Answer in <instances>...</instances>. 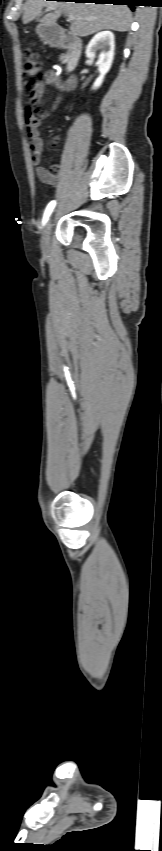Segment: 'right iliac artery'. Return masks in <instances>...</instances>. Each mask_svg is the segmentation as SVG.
I'll return each instance as SVG.
<instances>
[{
    "mask_svg": "<svg viewBox=\"0 0 162 851\" xmlns=\"http://www.w3.org/2000/svg\"><path fill=\"white\" fill-rule=\"evenodd\" d=\"M55 205H56V201H51V202L47 205L46 210H45V213H44V216H43V224H45V223L47 222V220H48V218H49V216H50L51 212L53 211V209H54Z\"/></svg>",
    "mask_w": 162,
    "mask_h": 851,
    "instance_id": "obj_1",
    "label": "right iliac artery"
}]
</instances>
